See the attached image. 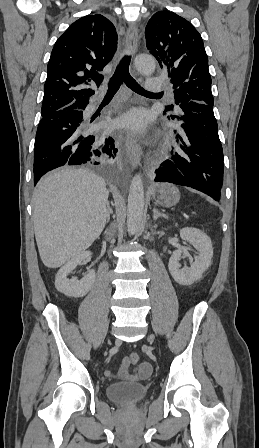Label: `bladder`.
<instances>
[{
    "mask_svg": "<svg viewBox=\"0 0 259 448\" xmlns=\"http://www.w3.org/2000/svg\"><path fill=\"white\" fill-rule=\"evenodd\" d=\"M148 387L143 383H112L106 387L107 397L118 404H132L141 401Z\"/></svg>",
    "mask_w": 259,
    "mask_h": 448,
    "instance_id": "obj_1",
    "label": "bladder"
}]
</instances>
